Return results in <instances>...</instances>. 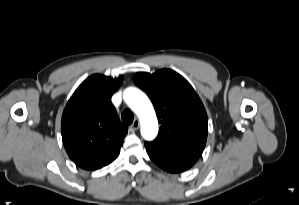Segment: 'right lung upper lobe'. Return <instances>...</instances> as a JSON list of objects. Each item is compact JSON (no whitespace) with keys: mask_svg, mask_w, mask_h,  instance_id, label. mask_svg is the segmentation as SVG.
<instances>
[{"mask_svg":"<svg viewBox=\"0 0 299 205\" xmlns=\"http://www.w3.org/2000/svg\"><path fill=\"white\" fill-rule=\"evenodd\" d=\"M123 77L92 75L69 99L62 116L61 134L72 161L85 170H96L114 161L127 128L122 125L111 96Z\"/></svg>","mask_w":299,"mask_h":205,"instance_id":"right-lung-upper-lobe-1","label":"right lung upper lobe"}]
</instances>
